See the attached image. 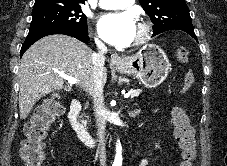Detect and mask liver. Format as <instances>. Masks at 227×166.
Segmentation results:
<instances>
[{
	"label": "liver",
	"mask_w": 227,
	"mask_h": 166,
	"mask_svg": "<svg viewBox=\"0 0 227 166\" xmlns=\"http://www.w3.org/2000/svg\"><path fill=\"white\" fill-rule=\"evenodd\" d=\"M93 52L81 41L66 35L46 36L23 55L19 67L20 118L25 119L34 104L53 90H62L61 74L76 78L87 94H92ZM106 69L103 80L106 82Z\"/></svg>",
	"instance_id": "1"
}]
</instances>
